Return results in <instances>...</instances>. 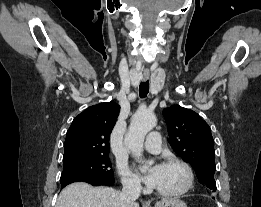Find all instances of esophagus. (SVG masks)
I'll use <instances>...</instances> for the list:
<instances>
[{
  "label": "esophagus",
  "instance_id": "esophagus-1",
  "mask_svg": "<svg viewBox=\"0 0 261 207\" xmlns=\"http://www.w3.org/2000/svg\"><path fill=\"white\" fill-rule=\"evenodd\" d=\"M148 78H149V75L148 74H144L143 80H147Z\"/></svg>",
  "mask_w": 261,
  "mask_h": 207
}]
</instances>
